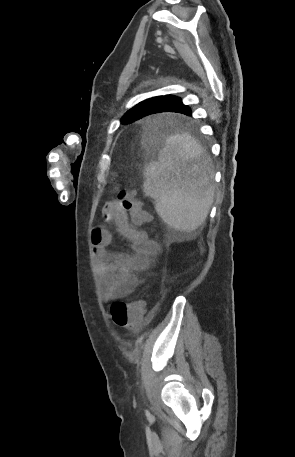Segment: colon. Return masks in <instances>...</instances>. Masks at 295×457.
<instances>
[{"label": "colon", "instance_id": "1", "mask_svg": "<svg viewBox=\"0 0 295 457\" xmlns=\"http://www.w3.org/2000/svg\"><path fill=\"white\" fill-rule=\"evenodd\" d=\"M119 202L128 212L132 222L135 225H142L149 219L148 214L142 209L141 203L134 197L133 192L127 190H119ZM111 317L113 322L128 330L137 329L144 320V306L141 301L121 302L116 301L111 305Z\"/></svg>", "mask_w": 295, "mask_h": 457}]
</instances>
